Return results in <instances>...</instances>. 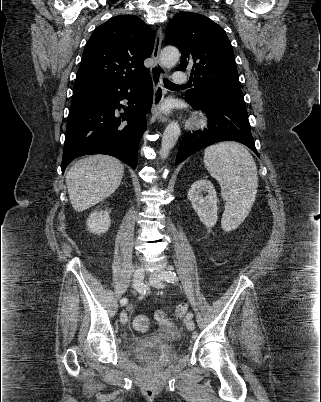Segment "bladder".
I'll use <instances>...</instances> for the list:
<instances>
[{"label": "bladder", "mask_w": 321, "mask_h": 402, "mask_svg": "<svg viewBox=\"0 0 321 402\" xmlns=\"http://www.w3.org/2000/svg\"><path fill=\"white\" fill-rule=\"evenodd\" d=\"M132 352L151 366H166L174 357L171 345L162 339L161 333L140 337L132 348Z\"/></svg>", "instance_id": "1"}]
</instances>
